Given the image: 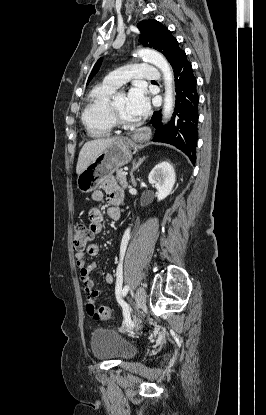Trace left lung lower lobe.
Masks as SVG:
<instances>
[{
	"mask_svg": "<svg viewBox=\"0 0 266 415\" xmlns=\"http://www.w3.org/2000/svg\"><path fill=\"white\" fill-rule=\"evenodd\" d=\"M173 72L175 76L176 104L173 117L168 125L161 124V113L155 111L151 118L156 128L155 142L171 144L183 151L195 164L198 139V103L196 78L192 66L186 59L185 52L176 61Z\"/></svg>",
	"mask_w": 266,
	"mask_h": 415,
	"instance_id": "0a47b994",
	"label": "left lung lower lobe"
}]
</instances>
